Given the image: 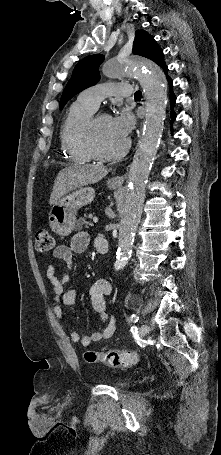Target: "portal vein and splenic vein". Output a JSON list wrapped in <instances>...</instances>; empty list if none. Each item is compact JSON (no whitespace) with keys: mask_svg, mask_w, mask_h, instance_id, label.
I'll return each instance as SVG.
<instances>
[{"mask_svg":"<svg viewBox=\"0 0 221 455\" xmlns=\"http://www.w3.org/2000/svg\"><path fill=\"white\" fill-rule=\"evenodd\" d=\"M93 222H94V223H97V222H98V218H97V217H94V218H93Z\"/></svg>","mask_w":221,"mask_h":455,"instance_id":"portal-vein-and-splenic-vein-1","label":"portal vein and splenic vein"}]
</instances>
